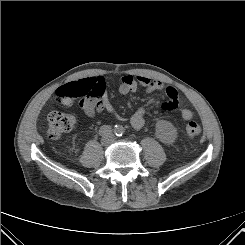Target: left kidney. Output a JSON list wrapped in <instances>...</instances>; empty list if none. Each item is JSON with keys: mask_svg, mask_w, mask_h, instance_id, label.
Returning <instances> with one entry per match:
<instances>
[{"mask_svg": "<svg viewBox=\"0 0 245 245\" xmlns=\"http://www.w3.org/2000/svg\"><path fill=\"white\" fill-rule=\"evenodd\" d=\"M159 134L166 140V141H173L176 138L177 131L173 127V125L169 122L162 121L158 125Z\"/></svg>", "mask_w": 245, "mask_h": 245, "instance_id": "1", "label": "left kidney"}]
</instances>
